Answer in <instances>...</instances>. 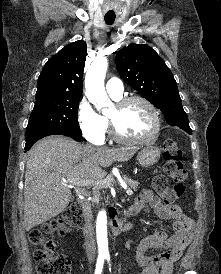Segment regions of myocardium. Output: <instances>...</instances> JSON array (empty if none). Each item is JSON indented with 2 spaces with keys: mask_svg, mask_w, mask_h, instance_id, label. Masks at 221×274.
I'll list each match as a JSON object with an SVG mask.
<instances>
[{
  "mask_svg": "<svg viewBox=\"0 0 221 274\" xmlns=\"http://www.w3.org/2000/svg\"><path fill=\"white\" fill-rule=\"evenodd\" d=\"M133 102L143 103L149 109L151 116H152V120H153V126H152L151 131L146 136H144L142 138L125 137L120 133L115 120L111 116L108 115V122H109L111 135L114 140H116L117 142L122 143V144L142 145V144L149 143L156 137V135L160 131L161 120H160L159 112H158L156 106L150 100H148L147 98H145L143 96H139V95H132V96H127V97L121 98L116 101L115 107L118 110H121Z\"/></svg>",
  "mask_w": 221,
  "mask_h": 274,
  "instance_id": "1",
  "label": "myocardium"
}]
</instances>
